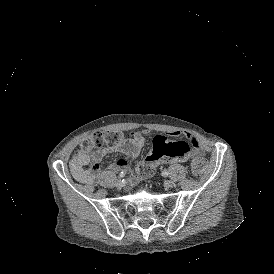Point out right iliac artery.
<instances>
[{"mask_svg": "<svg viewBox=\"0 0 274 274\" xmlns=\"http://www.w3.org/2000/svg\"><path fill=\"white\" fill-rule=\"evenodd\" d=\"M125 172H121L120 174H119V176L121 177V178H123L124 176H125Z\"/></svg>", "mask_w": 274, "mask_h": 274, "instance_id": "obj_1", "label": "right iliac artery"}]
</instances>
